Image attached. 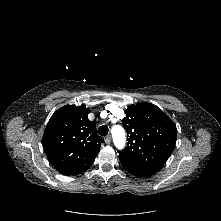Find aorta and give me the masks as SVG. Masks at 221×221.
I'll list each match as a JSON object with an SVG mask.
<instances>
[{
	"label": "aorta",
	"mask_w": 221,
	"mask_h": 221,
	"mask_svg": "<svg viewBox=\"0 0 221 221\" xmlns=\"http://www.w3.org/2000/svg\"><path fill=\"white\" fill-rule=\"evenodd\" d=\"M111 131H112V137H113V142L115 146L118 149H123L126 143L125 130L123 129V127L116 125L112 127Z\"/></svg>",
	"instance_id": "1"
}]
</instances>
